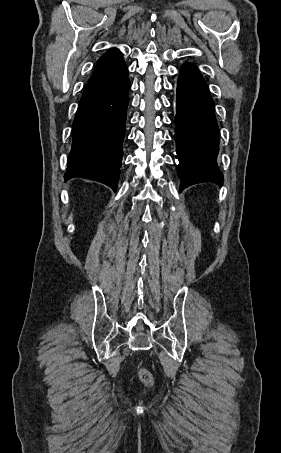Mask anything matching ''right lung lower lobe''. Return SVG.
Returning <instances> with one entry per match:
<instances>
[{
  "mask_svg": "<svg viewBox=\"0 0 281 453\" xmlns=\"http://www.w3.org/2000/svg\"><path fill=\"white\" fill-rule=\"evenodd\" d=\"M130 88L120 52L96 64L72 126L65 180L81 177L117 189Z\"/></svg>",
  "mask_w": 281,
  "mask_h": 453,
  "instance_id": "98d812e1",
  "label": "right lung lower lobe"
}]
</instances>
